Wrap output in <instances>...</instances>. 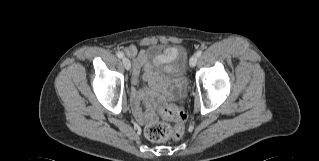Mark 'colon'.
<instances>
[{"label":"colon","instance_id":"obj_1","mask_svg":"<svg viewBox=\"0 0 319 161\" xmlns=\"http://www.w3.org/2000/svg\"><path fill=\"white\" fill-rule=\"evenodd\" d=\"M159 114L164 120L150 124L146 128V137L153 142L177 140L185 130L186 114L178 107L169 105L160 109ZM168 122H173L171 126Z\"/></svg>","mask_w":319,"mask_h":161}]
</instances>
